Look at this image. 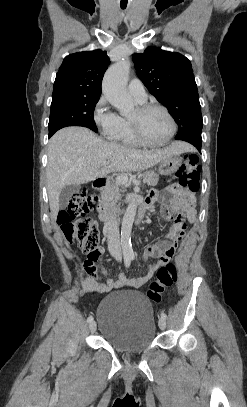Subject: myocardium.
Here are the masks:
<instances>
[{"label": "myocardium", "instance_id": "f54148a6", "mask_svg": "<svg viewBox=\"0 0 247 407\" xmlns=\"http://www.w3.org/2000/svg\"><path fill=\"white\" fill-rule=\"evenodd\" d=\"M154 109L161 110L168 117V119L171 123V132L164 141H162L160 143H152V142L147 141L141 132L138 120L129 118V123H130L132 134L140 145L157 148V147H163V146L167 145L173 139V137L175 136V134L177 132V122H176L174 116L172 115V113L163 105L150 103V104H142L137 107V110L140 114L146 113V112H148L150 110H154Z\"/></svg>", "mask_w": 247, "mask_h": 407}]
</instances>
